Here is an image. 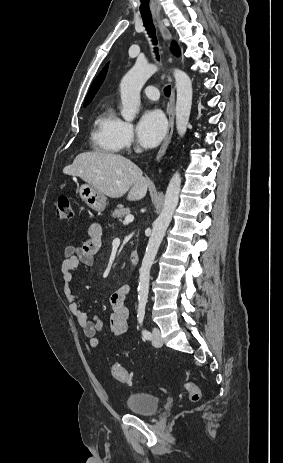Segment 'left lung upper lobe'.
<instances>
[{
	"label": "left lung upper lobe",
	"mask_w": 283,
	"mask_h": 463,
	"mask_svg": "<svg viewBox=\"0 0 283 463\" xmlns=\"http://www.w3.org/2000/svg\"><path fill=\"white\" fill-rule=\"evenodd\" d=\"M174 53H175V54H178V53H179V50H178L177 47H174Z\"/></svg>",
	"instance_id": "1"
}]
</instances>
